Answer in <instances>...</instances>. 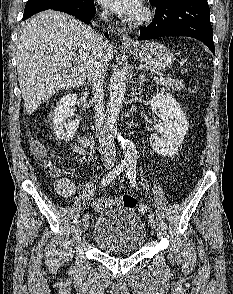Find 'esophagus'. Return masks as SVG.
<instances>
[{
  "label": "esophagus",
  "instance_id": "1",
  "mask_svg": "<svg viewBox=\"0 0 233 294\" xmlns=\"http://www.w3.org/2000/svg\"><path fill=\"white\" fill-rule=\"evenodd\" d=\"M121 42L126 47H135L136 43L126 34H122Z\"/></svg>",
  "mask_w": 233,
  "mask_h": 294
}]
</instances>
